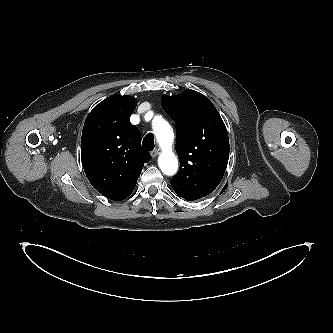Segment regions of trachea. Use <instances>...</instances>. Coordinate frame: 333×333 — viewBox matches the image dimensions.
I'll list each match as a JSON object with an SVG mask.
<instances>
[{"label": "trachea", "instance_id": "trachea-1", "mask_svg": "<svg viewBox=\"0 0 333 333\" xmlns=\"http://www.w3.org/2000/svg\"><path fill=\"white\" fill-rule=\"evenodd\" d=\"M142 146L147 150L154 149V135L152 133H148L142 142Z\"/></svg>", "mask_w": 333, "mask_h": 333}]
</instances>
